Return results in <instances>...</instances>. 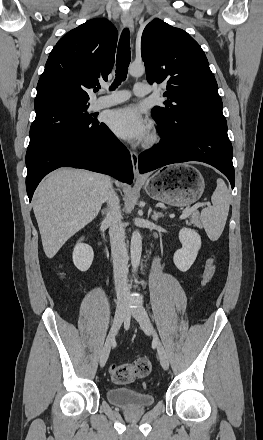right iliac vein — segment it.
I'll return each mask as SVG.
<instances>
[{
	"label": "right iliac vein",
	"instance_id": "obj_1",
	"mask_svg": "<svg viewBox=\"0 0 263 440\" xmlns=\"http://www.w3.org/2000/svg\"><path fill=\"white\" fill-rule=\"evenodd\" d=\"M126 315V308H125V301L124 300H119L117 303V307H116V311H115V317H114V323L113 326L111 328V331L107 337L106 343L102 349V352L100 354V366L104 367V365L106 364L109 354H110V350L111 347L114 343L115 340V336L125 318Z\"/></svg>",
	"mask_w": 263,
	"mask_h": 440
}]
</instances>
